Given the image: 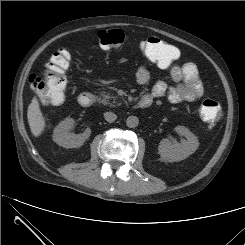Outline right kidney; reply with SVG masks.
<instances>
[{
  "label": "right kidney",
  "mask_w": 245,
  "mask_h": 245,
  "mask_svg": "<svg viewBox=\"0 0 245 245\" xmlns=\"http://www.w3.org/2000/svg\"><path fill=\"white\" fill-rule=\"evenodd\" d=\"M75 127V121L72 118H66L54 129L53 140L59 146L64 148H79L89 138L91 129L86 128L81 134L71 132Z\"/></svg>",
  "instance_id": "right-kidney-1"
}]
</instances>
